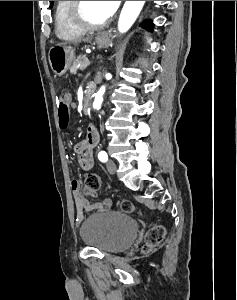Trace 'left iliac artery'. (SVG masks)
I'll use <instances>...</instances> for the list:
<instances>
[{
    "instance_id": "1",
    "label": "left iliac artery",
    "mask_w": 237,
    "mask_h": 300,
    "mask_svg": "<svg viewBox=\"0 0 237 300\" xmlns=\"http://www.w3.org/2000/svg\"><path fill=\"white\" fill-rule=\"evenodd\" d=\"M98 158L101 162H107L108 161V155L105 151L99 152Z\"/></svg>"
}]
</instances>
